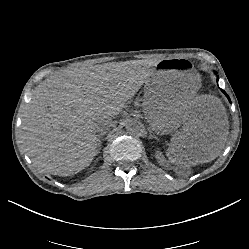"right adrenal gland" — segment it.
<instances>
[{"mask_svg":"<svg viewBox=\"0 0 249 249\" xmlns=\"http://www.w3.org/2000/svg\"><path fill=\"white\" fill-rule=\"evenodd\" d=\"M105 135V132H99L98 134V139H99V142H100V138L103 137Z\"/></svg>","mask_w":249,"mask_h":249,"instance_id":"obj_1","label":"right adrenal gland"}]
</instances>
